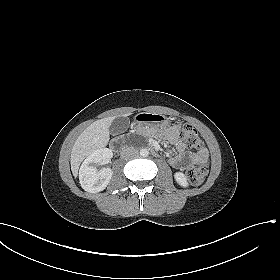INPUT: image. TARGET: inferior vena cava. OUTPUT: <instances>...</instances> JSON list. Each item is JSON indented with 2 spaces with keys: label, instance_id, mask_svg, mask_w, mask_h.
I'll use <instances>...</instances> for the list:
<instances>
[{
  "label": "inferior vena cava",
  "instance_id": "inferior-vena-cava-1",
  "mask_svg": "<svg viewBox=\"0 0 280 280\" xmlns=\"http://www.w3.org/2000/svg\"><path fill=\"white\" fill-rule=\"evenodd\" d=\"M138 155V150L133 147H126L121 152V158L130 159Z\"/></svg>",
  "mask_w": 280,
  "mask_h": 280
}]
</instances>
